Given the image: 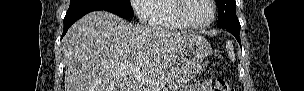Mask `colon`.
Masks as SVG:
<instances>
[{
    "instance_id": "5ec220e1",
    "label": "colon",
    "mask_w": 304,
    "mask_h": 91,
    "mask_svg": "<svg viewBox=\"0 0 304 91\" xmlns=\"http://www.w3.org/2000/svg\"><path fill=\"white\" fill-rule=\"evenodd\" d=\"M215 91H234V88L224 79L217 78L215 80Z\"/></svg>"
}]
</instances>
